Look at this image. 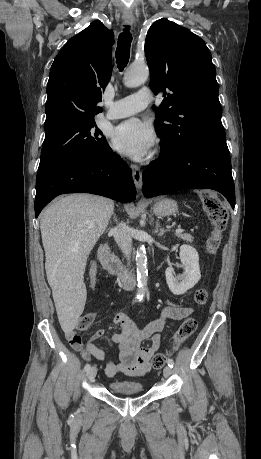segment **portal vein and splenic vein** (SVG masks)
<instances>
[{
	"label": "portal vein and splenic vein",
	"mask_w": 261,
	"mask_h": 459,
	"mask_svg": "<svg viewBox=\"0 0 261 459\" xmlns=\"http://www.w3.org/2000/svg\"><path fill=\"white\" fill-rule=\"evenodd\" d=\"M183 232H184V229H182V228H180V227H178V228L176 229V233H183Z\"/></svg>",
	"instance_id": "obj_1"
}]
</instances>
